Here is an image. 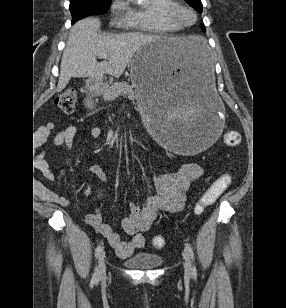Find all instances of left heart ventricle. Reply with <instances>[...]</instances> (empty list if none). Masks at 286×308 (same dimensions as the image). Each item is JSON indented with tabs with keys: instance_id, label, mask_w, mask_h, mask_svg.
I'll return each mask as SVG.
<instances>
[{
	"instance_id": "left-heart-ventricle-1",
	"label": "left heart ventricle",
	"mask_w": 286,
	"mask_h": 308,
	"mask_svg": "<svg viewBox=\"0 0 286 308\" xmlns=\"http://www.w3.org/2000/svg\"><path fill=\"white\" fill-rule=\"evenodd\" d=\"M180 15L182 20L186 23H191L194 20V17L190 12L182 11Z\"/></svg>"
}]
</instances>
